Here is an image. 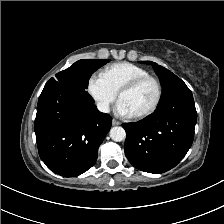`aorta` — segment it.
<instances>
[{
    "label": "aorta",
    "instance_id": "aorta-1",
    "mask_svg": "<svg viewBox=\"0 0 224 224\" xmlns=\"http://www.w3.org/2000/svg\"><path fill=\"white\" fill-rule=\"evenodd\" d=\"M110 137L113 141L120 142L125 140L126 138V132L124 128L120 126H115L110 129Z\"/></svg>",
    "mask_w": 224,
    "mask_h": 224
}]
</instances>
